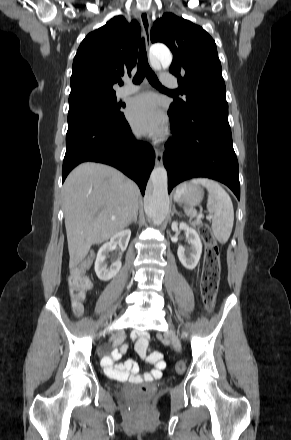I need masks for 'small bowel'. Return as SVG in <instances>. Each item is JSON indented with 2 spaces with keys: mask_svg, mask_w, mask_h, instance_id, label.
Masks as SVG:
<instances>
[{
  "mask_svg": "<svg viewBox=\"0 0 291 440\" xmlns=\"http://www.w3.org/2000/svg\"><path fill=\"white\" fill-rule=\"evenodd\" d=\"M135 338H138V342L136 343L135 349L140 355H144L147 345L148 339L145 332L139 331L134 335ZM128 346L123 344L120 346V350H114L110 356H107L103 360V367L105 372L115 378L125 379L129 378L132 382H148L153 379L160 378L163 370L166 367L165 362L160 356L158 359H153L152 355L147 356V361L154 365V369L145 374H139V365L134 360H127L123 364L118 366L115 365L116 360L119 357V352H125ZM176 369L180 372L185 370L183 365L176 366Z\"/></svg>",
  "mask_w": 291,
  "mask_h": 440,
  "instance_id": "obj_1",
  "label": "small bowel"
}]
</instances>
